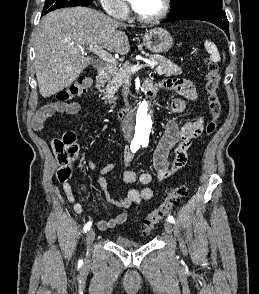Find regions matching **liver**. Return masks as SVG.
Returning a JSON list of instances; mask_svg holds the SVG:
<instances>
[{
  "label": "liver",
  "instance_id": "1",
  "mask_svg": "<svg viewBox=\"0 0 259 294\" xmlns=\"http://www.w3.org/2000/svg\"><path fill=\"white\" fill-rule=\"evenodd\" d=\"M123 24L85 7L63 8L47 14L35 32V69L39 92L50 97L69 87L92 62L85 46L126 55L128 37Z\"/></svg>",
  "mask_w": 259,
  "mask_h": 294
}]
</instances>
